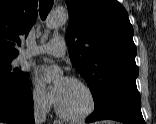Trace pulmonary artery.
I'll return each mask as SVG.
<instances>
[{"instance_id":"obj_1","label":"pulmonary artery","mask_w":156,"mask_h":124,"mask_svg":"<svg viewBox=\"0 0 156 124\" xmlns=\"http://www.w3.org/2000/svg\"><path fill=\"white\" fill-rule=\"evenodd\" d=\"M66 53L65 41L62 37H54L48 43L38 46L37 48L26 51L24 57H32L41 54H49L55 57H63Z\"/></svg>"}]
</instances>
